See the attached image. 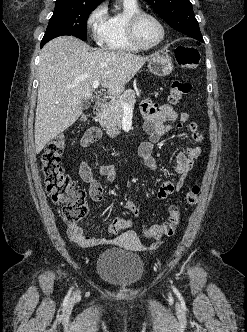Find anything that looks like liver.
<instances>
[{
	"label": "liver",
	"instance_id": "1",
	"mask_svg": "<svg viewBox=\"0 0 247 332\" xmlns=\"http://www.w3.org/2000/svg\"><path fill=\"white\" fill-rule=\"evenodd\" d=\"M151 57L91 50L72 36L48 42L40 53L34 130L36 153L76 122L84 109L83 102L93 95L91 85L95 80L101 82L108 94L118 97Z\"/></svg>",
	"mask_w": 247,
	"mask_h": 332
}]
</instances>
